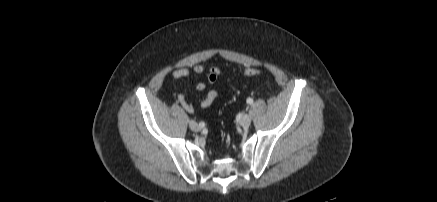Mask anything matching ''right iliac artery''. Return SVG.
Returning <instances> with one entry per match:
<instances>
[{
	"label": "right iliac artery",
	"instance_id": "obj_1",
	"mask_svg": "<svg viewBox=\"0 0 437 202\" xmlns=\"http://www.w3.org/2000/svg\"><path fill=\"white\" fill-rule=\"evenodd\" d=\"M199 125H200L201 128H203L205 126V123L204 122H200Z\"/></svg>",
	"mask_w": 437,
	"mask_h": 202
}]
</instances>
